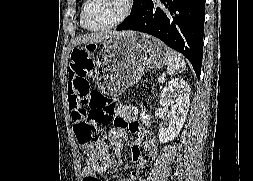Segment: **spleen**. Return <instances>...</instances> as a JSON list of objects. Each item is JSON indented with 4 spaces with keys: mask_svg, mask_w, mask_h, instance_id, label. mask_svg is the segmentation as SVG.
Instances as JSON below:
<instances>
[{
    "mask_svg": "<svg viewBox=\"0 0 253 181\" xmlns=\"http://www.w3.org/2000/svg\"><path fill=\"white\" fill-rule=\"evenodd\" d=\"M167 73L171 76L181 73L185 67L186 63L184 59L172 49H167Z\"/></svg>",
    "mask_w": 253,
    "mask_h": 181,
    "instance_id": "3e777b00",
    "label": "spleen"
}]
</instances>
